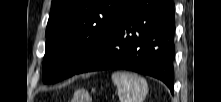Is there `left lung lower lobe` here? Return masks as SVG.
<instances>
[{
	"mask_svg": "<svg viewBox=\"0 0 221 102\" xmlns=\"http://www.w3.org/2000/svg\"><path fill=\"white\" fill-rule=\"evenodd\" d=\"M172 0H129L115 25L75 73L126 69L155 77L173 92Z\"/></svg>",
	"mask_w": 221,
	"mask_h": 102,
	"instance_id": "left-lung-lower-lobe-1",
	"label": "left lung lower lobe"
}]
</instances>
